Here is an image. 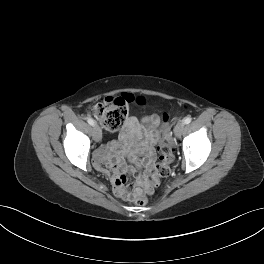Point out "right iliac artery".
<instances>
[{
    "instance_id": "1",
    "label": "right iliac artery",
    "mask_w": 264,
    "mask_h": 264,
    "mask_svg": "<svg viewBox=\"0 0 264 264\" xmlns=\"http://www.w3.org/2000/svg\"><path fill=\"white\" fill-rule=\"evenodd\" d=\"M87 122H88L90 125H92V126L95 125V121H94L93 119H91V118H88V119H87Z\"/></svg>"
}]
</instances>
